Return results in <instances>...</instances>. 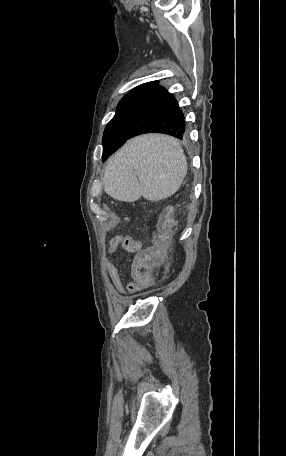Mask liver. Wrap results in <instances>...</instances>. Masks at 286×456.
<instances>
[{"instance_id":"obj_1","label":"liver","mask_w":286,"mask_h":456,"mask_svg":"<svg viewBox=\"0 0 286 456\" xmlns=\"http://www.w3.org/2000/svg\"><path fill=\"white\" fill-rule=\"evenodd\" d=\"M186 174V157L176 139L145 134L129 140L110 160L103 177L104 191L124 202L141 196L159 201L176 193Z\"/></svg>"}]
</instances>
